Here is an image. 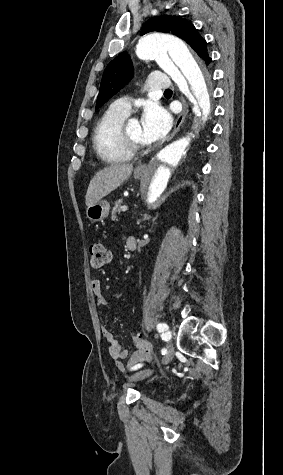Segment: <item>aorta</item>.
I'll return each instance as SVG.
<instances>
[{"label":"aorta","mask_w":283,"mask_h":475,"mask_svg":"<svg viewBox=\"0 0 283 475\" xmlns=\"http://www.w3.org/2000/svg\"><path fill=\"white\" fill-rule=\"evenodd\" d=\"M136 55L142 60L155 59L194 104V114L201 116L200 124L195 119L184 136L163 148L147 166L138 192V203L144 211L159 204L170 184L197 150L201 126L210 114L211 82L209 74L196 62L184 42L174 36L159 33L146 35L139 40Z\"/></svg>","instance_id":"1"}]
</instances>
